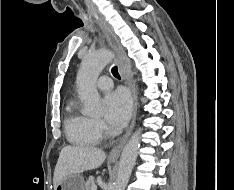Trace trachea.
<instances>
[{"mask_svg": "<svg viewBox=\"0 0 234 190\" xmlns=\"http://www.w3.org/2000/svg\"><path fill=\"white\" fill-rule=\"evenodd\" d=\"M111 72H112V74H113L114 77H116L117 79H120V75H119V73H118V69H117L116 66H114V67L112 68Z\"/></svg>", "mask_w": 234, "mask_h": 190, "instance_id": "trachea-1", "label": "trachea"}]
</instances>
